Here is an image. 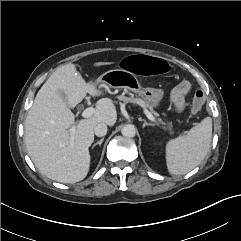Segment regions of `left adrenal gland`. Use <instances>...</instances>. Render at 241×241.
Masks as SVG:
<instances>
[{
    "mask_svg": "<svg viewBox=\"0 0 241 241\" xmlns=\"http://www.w3.org/2000/svg\"><path fill=\"white\" fill-rule=\"evenodd\" d=\"M139 121H143V128H145L146 126H154V124L152 123H148L145 119L139 118Z\"/></svg>",
    "mask_w": 241,
    "mask_h": 241,
    "instance_id": "obj_1",
    "label": "left adrenal gland"
}]
</instances>
